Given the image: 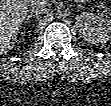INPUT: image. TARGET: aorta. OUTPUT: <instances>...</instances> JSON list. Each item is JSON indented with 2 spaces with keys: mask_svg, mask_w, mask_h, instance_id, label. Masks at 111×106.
Returning a JSON list of instances; mask_svg holds the SVG:
<instances>
[{
  "mask_svg": "<svg viewBox=\"0 0 111 106\" xmlns=\"http://www.w3.org/2000/svg\"><path fill=\"white\" fill-rule=\"evenodd\" d=\"M67 16V12L63 9H59L57 12H56V17L58 19H64L65 17Z\"/></svg>",
  "mask_w": 111,
  "mask_h": 106,
  "instance_id": "obj_1",
  "label": "aorta"
}]
</instances>
